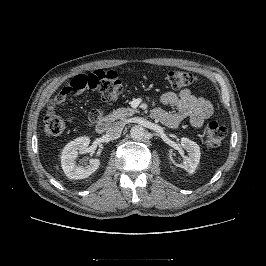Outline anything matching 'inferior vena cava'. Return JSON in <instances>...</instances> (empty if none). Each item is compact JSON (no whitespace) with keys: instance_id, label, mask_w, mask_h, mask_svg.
<instances>
[{"instance_id":"inferior-vena-cava-1","label":"inferior vena cava","mask_w":266,"mask_h":266,"mask_svg":"<svg viewBox=\"0 0 266 266\" xmlns=\"http://www.w3.org/2000/svg\"><path fill=\"white\" fill-rule=\"evenodd\" d=\"M123 127H124L123 122L118 121L112 123L106 131L107 137L111 140L119 138L122 133Z\"/></svg>"}]
</instances>
